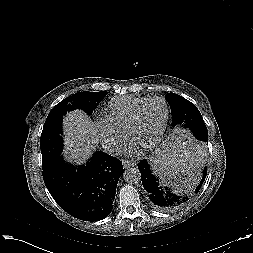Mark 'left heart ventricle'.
I'll return each instance as SVG.
<instances>
[{
	"instance_id": "left-heart-ventricle-1",
	"label": "left heart ventricle",
	"mask_w": 253,
	"mask_h": 253,
	"mask_svg": "<svg viewBox=\"0 0 253 253\" xmlns=\"http://www.w3.org/2000/svg\"><path fill=\"white\" fill-rule=\"evenodd\" d=\"M166 116V107L161 100L150 102L142 111L132 141L140 147L150 144L160 132Z\"/></svg>"
}]
</instances>
